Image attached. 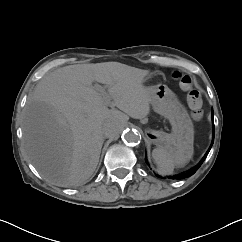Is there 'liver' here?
<instances>
[{"label": "liver", "mask_w": 242, "mask_h": 242, "mask_svg": "<svg viewBox=\"0 0 242 242\" xmlns=\"http://www.w3.org/2000/svg\"><path fill=\"white\" fill-rule=\"evenodd\" d=\"M149 70L119 62L76 64L58 68L36 85L23 113L24 147L32 164L48 182L61 186L85 184L94 173L112 118L145 119L150 92L144 86ZM93 82L104 84L109 109Z\"/></svg>", "instance_id": "1"}]
</instances>
